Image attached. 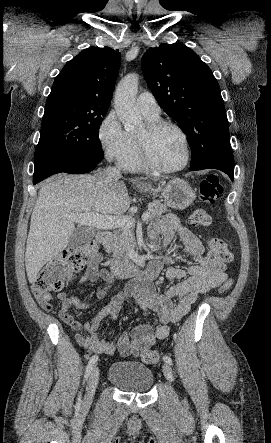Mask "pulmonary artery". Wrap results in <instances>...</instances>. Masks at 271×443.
Returning <instances> with one entry per match:
<instances>
[{
	"label": "pulmonary artery",
	"mask_w": 271,
	"mask_h": 443,
	"mask_svg": "<svg viewBox=\"0 0 271 443\" xmlns=\"http://www.w3.org/2000/svg\"><path fill=\"white\" fill-rule=\"evenodd\" d=\"M137 104L145 117H156L160 114V107L151 92L141 93L137 97Z\"/></svg>",
	"instance_id": "1"
}]
</instances>
